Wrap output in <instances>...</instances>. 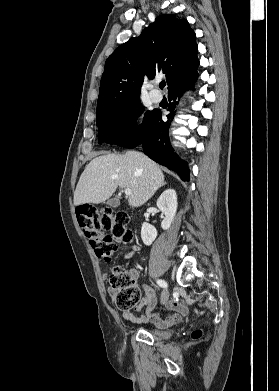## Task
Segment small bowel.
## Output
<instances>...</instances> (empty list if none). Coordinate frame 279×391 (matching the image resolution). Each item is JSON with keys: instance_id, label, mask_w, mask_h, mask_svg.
I'll return each instance as SVG.
<instances>
[{"instance_id": "obj_1", "label": "small bowel", "mask_w": 279, "mask_h": 391, "mask_svg": "<svg viewBox=\"0 0 279 391\" xmlns=\"http://www.w3.org/2000/svg\"><path fill=\"white\" fill-rule=\"evenodd\" d=\"M139 249L140 247L138 244L131 245L129 251L125 253L124 259L127 260L132 258ZM130 275L135 279L137 277V272L131 271ZM142 288L144 296L136 306V311L140 312V314H135L131 311H124L123 317L127 321L135 324H152L156 328L165 329L180 322L182 317L188 314V307L184 302L178 299L167 300V302L164 303L165 307L169 311L165 317H163L158 311L153 312L157 304L155 290L148 285H143Z\"/></svg>"}]
</instances>
